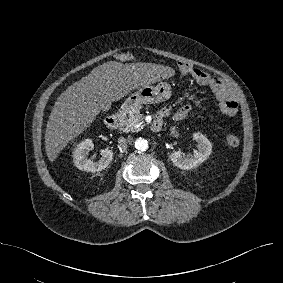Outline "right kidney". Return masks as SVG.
I'll return each instance as SVG.
<instances>
[{
  "instance_id": "right-kidney-1",
  "label": "right kidney",
  "mask_w": 283,
  "mask_h": 283,
  "mask_svg": "<svg viewBox=\"0 0 283 283\" xmlns=\"http://www.w3.org/2000/svg\"><path fill=\"white\" fill-rule=\"evenodd\" d=\"M94 145L91 139H86L77 145L73 152L74 165L86 172H99L109 166L113 159V152L109 149L100 151L101 157L98 160L88 158L89 151L93 150Z\"/></svg>"
}]
</instances>
